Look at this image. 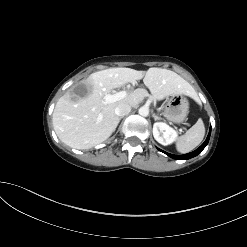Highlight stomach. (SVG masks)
Returning a JSON list of instances; mask_svg holds the SVG:
<instances>
[{
    "instance_id": "1",
    "label": "stomach",
    "mask_w": 247,
    "mask_h": 247,
    "mask_svg": "<svg viewBox=\"0 0 247 247\" xmlns=\"http://www.w3.org/2000/svg\"><path fill=\"white\" fill-rule=\"evenodd\" d=\"M189 113V102L183 95H172L166 103L164 117L173 123H182Z\"/></svg>"
}]
</instances>
